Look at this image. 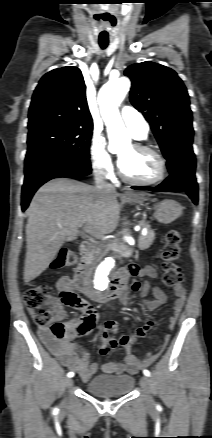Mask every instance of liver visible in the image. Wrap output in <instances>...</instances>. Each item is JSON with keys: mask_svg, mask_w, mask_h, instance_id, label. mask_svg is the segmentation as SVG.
I'll list each match as a JSON object with an SVG mask.
<instances>
[{"mask_svg": "<svg viewBox=\"0 0 212 438\" xmlns=\"http://www.w3.org/2000/svg\"><path fill=\"white\" fill-rule=\"evenodd\" d=\"M118 196L115 190L99 191L66 178L44 184L27 210L24 282L45 271L64 241L77 238L80 227L88 226L99 235L111 233L118 222Z\"/></svg>", "mask_w": 212, "mask_h": 438, "instance_id": "obj_1", "label": "liver"}]
</instances>
